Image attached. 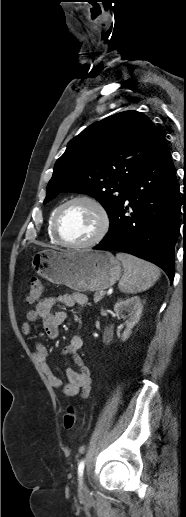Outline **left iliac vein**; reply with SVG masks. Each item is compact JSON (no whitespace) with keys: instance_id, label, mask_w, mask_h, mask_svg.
I'll use <instances>...</instances> for the list:
<instances>
[{"instance_id":"4c4485c4","label":"left iliac vein","mask_w":186,"mask_h":517,"mask_svg":"<svg viewBox=\"0 0 186 517\" xmlns=\"http://www.w3.org/2000/svg\"><path fill=\"white\" fill-rule=\"evenodd\" d=\"M88 492V488L85 484V481L84 480H81L80 482V486H79V493L80 495H84Z\"/></svg>"}]
</instances>
